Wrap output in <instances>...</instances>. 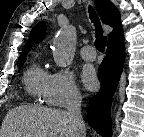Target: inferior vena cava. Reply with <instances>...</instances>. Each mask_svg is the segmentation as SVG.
<instances>
[{"mask_svg": "<svg viewBox=\"0 0 144 137\" xmlns=\"http://www.w3.org/2000/svg\"><path fill=\"white\" fill-rule=\"evenodd\" d=\"M81 100L80 93L73 91L67 104V113L76 131L75 137H85V125L81 115Z\"/></svg>", "mask_w": 144, "mask_h": 137, "instance_id": "602c4592", "label": "inferior vena cava"}]
</instances>
